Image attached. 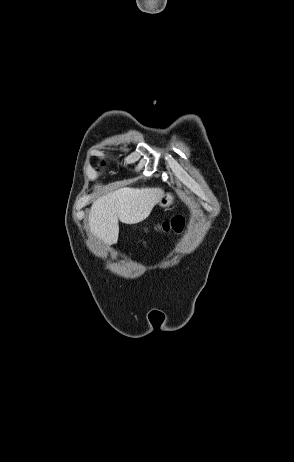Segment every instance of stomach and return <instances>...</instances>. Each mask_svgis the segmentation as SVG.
Returning a JSON list of instances; mask_svg holds the SVG:
<instances>
[{
    "instance_id": "stomach-1",
    "label": "stomach",
    "mask_w": 294,
    "mask_h": 462,
    "mask_svg": "<svg viewBox=\"0 0 294 462\" xmlns=\"http://www.w3.org/2000/svg\"><path fill=\"white\" fill-rule=\"evenodd\" d=\"M174 201V196L171 193L163 194L158 205L162 208H168Z\"/></svg>"
}]
</instances>
